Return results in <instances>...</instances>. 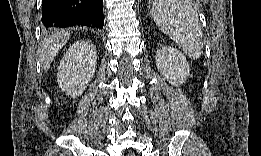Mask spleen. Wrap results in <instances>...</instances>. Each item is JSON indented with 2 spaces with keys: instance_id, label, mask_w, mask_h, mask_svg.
<instances>
[{
  "instance_id": "obj_1",
  "label": "spleen",
  "mask_w": 261,
  "mask_h": 156,
  "mask_svg": "<svg viewBox=\"0 0 261 156\" xmlns=\"http://www.w3.org/2000/svg\"><path fill=\"white\" fill-rule=\"evenodd\" d=\"M151 12L158 28L188 57L197 59L201 56L203 36L197 11L189 1L155 0Z\"/></svg>"
}]
</instances>
